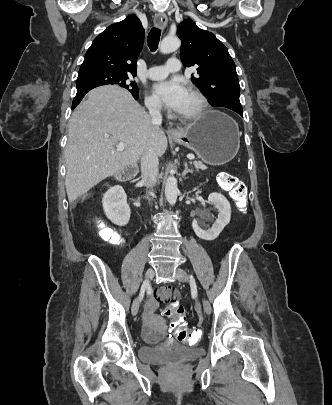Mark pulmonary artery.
Returning <instances> with one entry per match:
<instances>
[{
  "label": "pulmonary artery",
  "instance_id": "e3ab8cb5",
  "mask_svg": "<svg viewBox=\"0 0 332 405\" xmlns=\"http://www.w3.org/2000/svg\"><path fill=\"white\" fill-rule=\"evenodd\" d=\"M180 68L179 59L172 57L167 61L166 65L150 67L147 71V76L152 80H160L171 72H178Z\"/></svg>",
  "mask_w": 332,
  "mask_h": 405
}]
</instances>
